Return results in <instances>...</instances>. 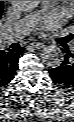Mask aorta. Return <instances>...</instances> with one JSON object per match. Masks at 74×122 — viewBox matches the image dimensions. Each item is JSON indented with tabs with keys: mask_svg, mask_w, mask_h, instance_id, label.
I'll use <instances>...</instances> for the list:
<instances>
[{
	"mask_svg": "<svg viewBox=\"0 0 74 122\" xmlns=\"http://www.w3.org/2000/svg\"><path fill=\"white\" fill-rule=\"evenodd\" d=\"M40 3L41 1H14L15 6L20 11L34 10ZM41 58L43 63L51 68L60 66L64 60L61 49L55 45L46 46L42 51Z\"/></svg>",
	"mask_w": 74,
	"mask_h": 122,
	"instance_id": "762f6f07",
	"label": "aorta"
}]
</instances>
